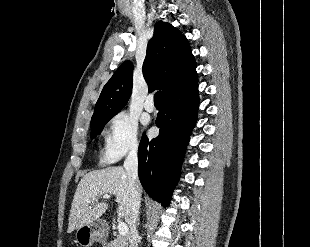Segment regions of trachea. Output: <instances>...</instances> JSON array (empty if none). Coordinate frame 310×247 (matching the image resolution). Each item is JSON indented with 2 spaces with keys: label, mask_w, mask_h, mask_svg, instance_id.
Segmentation results:
<instances>
[{
  "label": "trachea",
  "mask_w": 310,
  "mask_h": 247,
  "mask_svg": "<svg viewBox=\"0 0 310 247\" xmlns=\"http://www.w3.org/2000/svg\"><path fill=\"white\" fill-rule=\"evenodd\" d=\"M161 98H162L161 91H157L154 95V103L161 104Z\"/></svg>",
  "instance_id": "3493384b"
}]
</instances>
